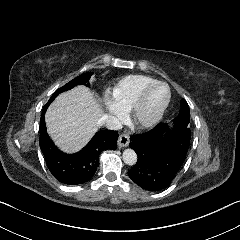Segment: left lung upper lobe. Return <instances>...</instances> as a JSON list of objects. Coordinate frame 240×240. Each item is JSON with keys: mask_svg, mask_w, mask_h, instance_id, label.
<instances>
[{"mask_svg": "<svg viewBox=\"0 0 240 240\" xmlns=\"http://www.w3.org/2000/svg\"><path fill=\"white\" fill-rule=\"evenodd\" d=\"M180 105L181 109L179 111V115L174 119V121L184 123L185 125H189L190 110L188 104L184 99H181Z\"/></svg>", "mask_w": 240, "mask_h": 240, "instance_id": "left-lung-upper-lobe-1", "label": "left lung upper lobe"}]
</instances>
